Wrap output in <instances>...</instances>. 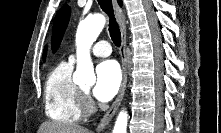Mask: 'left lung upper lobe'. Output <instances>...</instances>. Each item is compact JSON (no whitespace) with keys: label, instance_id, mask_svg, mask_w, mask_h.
I'll use <instances>...</instances> for the list:
<instances>
[{"label":"left lung upper lobe","instance_id":"5c2ea615","mask_svg":"<svg viewBox=\"0 0 221 133\" xmlns=\"http://www.w3.org/2000/svg\"><path fill=\"white\" fill-rule=\"evenodd\" d=\"M70 18V7L65 5L57 12L53 23L52 50L59 47Z\"/></svg>","mask_w":221,"mask_h":133}]
</instances>
